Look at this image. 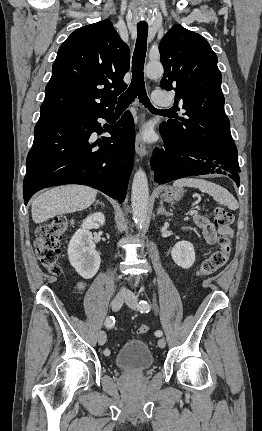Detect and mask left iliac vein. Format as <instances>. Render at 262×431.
Instances as JSON below:
<instances>
[{
    "instance_id": "4c4485c4",
    "label": "left iliac vein",
    "mask_w": 262,
    "mask_h": 431,
    "mask_svg": "<svg viewBox=\"0 0 262 431\" xmlns=\"http://www.w3.org/2000/svg\"><path fill=\"white\" fill-rule=\"evenodd\" d=\"M125 302H126V304H127L131 309L138 310V309H137V306H138V299H137V297H136L133 293L129 292V293L126 295ZM158 346H159L160 348H165V346H166V341H165V339H164V338H160V339L158 340Z\"/></svg>"
}]
</instances>
